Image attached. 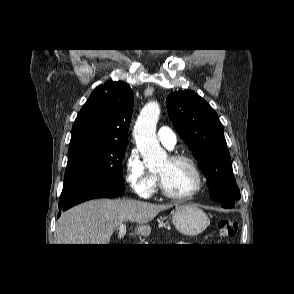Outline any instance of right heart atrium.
<instances>
[{"label": "right heart atrium", "instance_id": "right-heart-atrium-1", "mask_svg": "<svg viewBox=\"0 0 294 294\" xmlns=\"http://www.w3.org/2000/svg\"><path fill=\"white\" fill-rule=\"evenodd\" d=\"M125 181L132 191L141 198H150L157 185V176L145 166L137 150L128 154L125 163Z\"/></svg>", "mask_w": 294, "mask_h": 294}]
</instances>
